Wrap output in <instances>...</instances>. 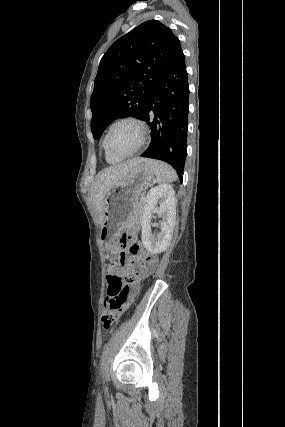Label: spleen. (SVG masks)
<instances>
[{"label":"spleen","instance_id":"1","mask_svg":"<svg viewBox=\"0 0 285 427\" xmlns=\"http://www.w3.org/2000/svg\"><path fill=\"white\" fill-rule=\"evenodd\" d=\"M145 164L153 171L156 181L160 184L170 183L177 179L173 168L164 162L146 159Z\"/></svg>","mask_w":285,"mask_h":427}]
</instances>
